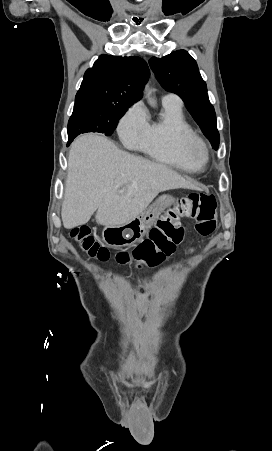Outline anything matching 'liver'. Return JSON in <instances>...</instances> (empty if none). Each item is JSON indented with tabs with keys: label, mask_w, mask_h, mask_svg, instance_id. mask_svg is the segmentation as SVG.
<instances>
[{
	"label": "liver",
	"mask_w": 272,
	"mask_h": 451,
	"mask_svg": "<svg viewBox=\"0 0 272 451\" xmlns=\"http://www.w3.org/2000/svg\"><path fill=\"white\" fill-rule=\"evenodd\" d=\"M174 188L195 190L171 168L122 152L104 136L84 134L69 152L63 226L87 224L96 210L97 224L120 226L141 214L159 192Z\"/></svg>",
	"instance_id": "liver-1"
}]
</instances>
